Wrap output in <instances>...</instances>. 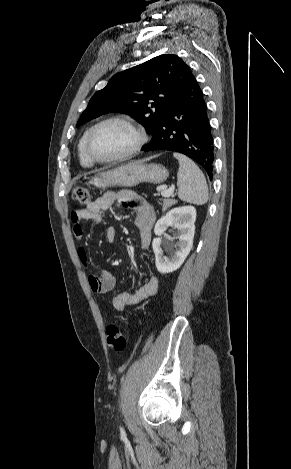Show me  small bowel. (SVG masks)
Wrapping results in <instances>:
<instances>
[{"label":"small bowel","mask_w":291,"mask_h":469,"mask_svg":"<svg viewBox=\"0 0 291 469\" xmlns=\"http://www.w3.org/2000/svg\"><path fill=\"white\" fill-rule=\"evenodd\" d=\"M115 202H119L135 211V225L140 234L142 249H147L151 243L152 227L155 222V211L150 203L138 196L133 191L122 190L119 192L108 191L91 202L86 209L76 210L72 214L73 230L78 240H82L86 231V224L89 221L99 223L103 219V213ZM116 237V230L110 226L106 230L108 243H113ZM79 257L86 264L87 256L85 249H79ZM88 283L91 290L99 294L112 293L117 285L116 277L108 270H101L98 275L88 276ZM158 289V280L152 276L133 292H121L113 296L112 305L117 312H122L126 307L135 305L154 295Z\"/></svg>","instance_id":"obj_1"}]
</instances>
